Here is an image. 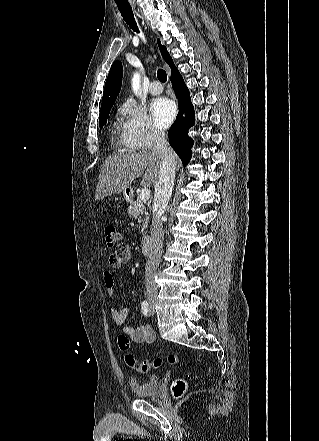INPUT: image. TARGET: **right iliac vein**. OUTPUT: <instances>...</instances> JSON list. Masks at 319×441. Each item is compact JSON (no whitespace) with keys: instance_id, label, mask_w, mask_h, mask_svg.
Masks as SVG:
<instances>
[{"instance_id":"obj_1","label":"right iliac vein","mask_w":319,"mask_h":441,"mask_svg":"<svg viewBox=\"0 0 319 441\" xmlns=\"http://www.w3.org/2000/svg\"><path fill=\"white\" fill-rule=\"evenodd\" d=\"M150 305L153 306L154 305V301H150Z\"/></svg>"}]
</instances>
